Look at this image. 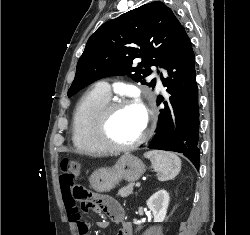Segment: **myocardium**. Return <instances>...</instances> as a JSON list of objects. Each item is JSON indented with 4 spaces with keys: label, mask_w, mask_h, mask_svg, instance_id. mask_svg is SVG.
Instances as JSON below:
<instances>
[{
    "label": "myocardium",
    "mask_w": 250,
    "mask_h": 235,
    "mask_svg": "<svg viewBox=\"0 0 250 235\" xmlns=\"http://www.w3.org/2000/svg\"><path fill=\"white\" fill-rule=\"evenodd\" d=\"M126 107H134L131 101L129 100H112L109 101L98 113L95 125H94V136L96 141L107 151L112 152H125L130 151L138 146H140L147 137V126L145 125L140 136L131 143L127 144H117L109 136L108 128L110 120L113 114L121 109ZM149 120L147 115L146 122ZM146 124V123H145Z\"/></svg>",
    "instance_id": "f54148a6"
}]
</instances>
